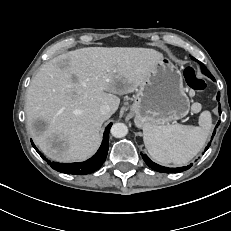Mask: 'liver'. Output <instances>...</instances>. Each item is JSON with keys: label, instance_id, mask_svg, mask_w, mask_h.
Wrapping results in <instances>:
<instances>
[{"label": "liver", "instance_id": "obj_1", "mask_svg": "<svg viewBox=\"0 0 231 231\" xmlns=\"http://www.w3.org/2000/svg\"><path fill=\"white\" fill-rule=\"evenodd\" d=\"M163 55L149 48L88 47L69 51L42 65L27 89L25 111L31 136L41 151L58 162H81L98 149L106 120L118 95L137 92ZM47 123L43 132L35 120ZM55 138L62 141L54 147Z\"/></svg>", "mask_w": 231, "mask_h": 231}]
</instances>
